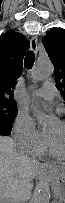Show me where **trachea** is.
<instances>
[{"label": "trachea", "instance_id": "trachea-1", "mask_svg": "<svg viewBox=\"0 0 65 203\" xmlns=\"http://www.w3.org/2000/svg\"><path fill=\"white\" fill-rule=\"evenodd\" d=\"M35 62V54L32 51H29L25 55L24 65L27 69H31Z\"/></svg>", "mask_w": 65, "mask_h": 203}]
</instances>
